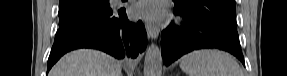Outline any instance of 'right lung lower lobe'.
Masks as SVG:
<instances>
[{
    "instance_id": "98d812e1",
    "label": "right lung lower lobe",
    "mask_w": 287,
    "mask_h": 76,
    "mask_svg": "<svg viewBox=\"0 0 287 76\" xmlns=\"http://www.w3.org/2000/svg\"><path fill=\"white\" fill-rule=\"evenodd\" d=\"M147 35L141 21L129 22L125 10L108 9L58 29L48 59V70L66 52L78 48L102 50L115 58H136L145 50Z\"/></svg>"
}]
</instances>
